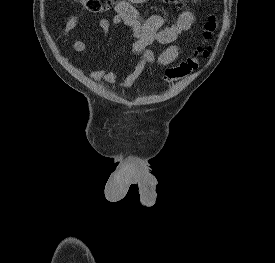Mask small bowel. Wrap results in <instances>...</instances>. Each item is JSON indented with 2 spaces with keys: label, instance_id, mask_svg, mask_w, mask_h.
<instances>
[{
  "label": "small bowel",
  "instance_id": "small-bowel-1",
  "mask_svg": "<svg viewBox=\"0 0 275 263\" xmlns=\"http://www.w3.org/2000/svg\"><path fill=\"white\" fill-rule=\"evenodd\" d=\"M148 0H118L114 7L115 15L112 19L102 18L100 28L103 38L106 39L112 26L119 28H129L132 31L133 41L131 50L138 54L137 61L133 71L122 81L120 77L124 70H107L102 68L86 73V75L97 82H106L111 85H120L122 87H132L142 76L146 67L157 63L159 66H167L174 62L181 53V47L175 42L179 36L188 31L195 21V14L192 9L183 11L177 18L176 22L164 26V17L160 13H154L148 18L143 19L135 4L144 3ZM198 0H193L196 4ZM78 17L73 15L64 26L63 36L68 37L70 32L76 27ZM153 43L168 45L157 57L148 46ZM70 48L78 53H85L87 45L85 42L76 40L70 43ZM66 62H70L68 57H64ZM78 72H83L81 67L74 65Z\"/></svg>",
  "mask_w": 275,
  "mask_h": 263
}]
</instances>
